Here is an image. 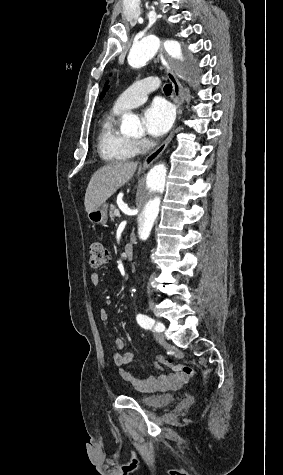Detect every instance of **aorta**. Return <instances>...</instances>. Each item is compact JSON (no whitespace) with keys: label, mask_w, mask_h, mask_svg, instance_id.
<instances>
[{"label":"aorta","mask_w":283,"mask_h":475,"mask_svg":"<svg viewBox=\"0 0 283 475\" xmlns=\"http://www.w3.org/2000/svg\"><path fill=\"white\" fill-rule=\"evenodd\" d=\"M161 47V41L154 35H149L135 43L128 55V62L134 68L144 66ZM168 54L183 67L189 63L181 51L177 41L164 42ZM142 130L139 118L131 113L122 116L121 131L127 135H134ZM171 166L159 163L153 166L147 175L139 182L134 197L133 221L139 240L145 242L159 222L165 208V200L171 186Z\"/></svg>","instance_id":"obj_1"}]
</instances>
